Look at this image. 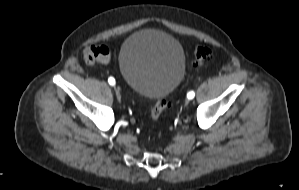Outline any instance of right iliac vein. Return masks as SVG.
<instances>
[{
  "label": "right iliac vein",
  "instance_id": "1",
  "mask_svg": "<svg viewBox=\"0 0 299 190\" xmlns=\"http://www.w3.org/2000/svg\"><path fill=\"white\" fill-rule=\"evenodd\" d=\"M115 93H116L117 99L120 101L121 100L120 89L119 88H115Z\"/></svg>",
  "mask_w": 299,
  "mask_h": 190
}]
</instances>
